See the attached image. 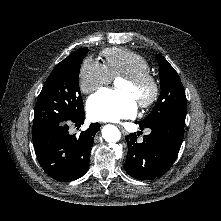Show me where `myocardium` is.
<instances>
[{
    "label": "myocardium",
    "mask_w": 221,
    "mask_h": 221,
    "mask_svg": "<svg viewBox=\"0 0 221 221\" xmlns=\"http://www.w3.org/2000/svg\"><path fill=\"white\" fill-rule=\"evenodd\" d=\"M123 80L135 87H147L148 93L139 100L138 104L141 108H148L158 99L160 86L158 79L149 71L140 72L122 77Z\"/></svg>",
    "instance_id": "obj_1"
}]
</instances>
